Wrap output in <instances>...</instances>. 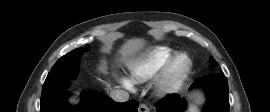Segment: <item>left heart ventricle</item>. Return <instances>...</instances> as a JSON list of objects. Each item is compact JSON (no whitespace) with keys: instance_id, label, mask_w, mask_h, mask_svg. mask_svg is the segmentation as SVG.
Wrapping results in <instances>:
<instances>
[{"instance_id":"obj_1","label":"left heart ventricle","mask_w":270,"mask_h":112,"mask_svg":"<svg viewBox=\"0 0 270 112\" xmlns=\"http://www.w3.org/2000/svg\"><path fill=\"white\" fill-rule=\"evenodd\" d=\"M187 60L185 57H180L177 59V61L174 64L173 72L177 73L181 71L186 66Z\"/></svg>"}]
</instances>
